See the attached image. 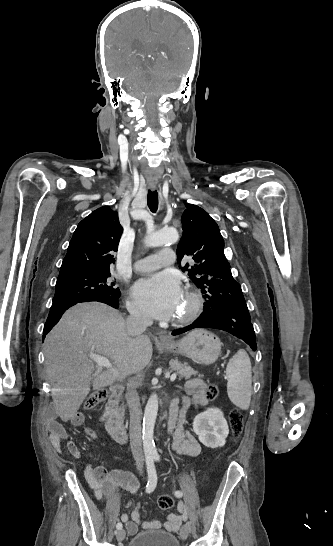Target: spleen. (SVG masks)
I'll return each instance as SVG.
<instances>
[{"instance_id":"1","label":"spleen","mask_w":333,"mask_h":546,"mask_svg":"<svg viewBox=\"0 0 333 546\" xmlns=\"http://www.w3.org/2000/svg\"><path fill=\"white\" fill-rule=\"evenodd\" d=\"M227 393L230 400L242 410H247L252 394L251 362L245 350L240 349L226 368Z\"/></svg>"}]
</instances>
